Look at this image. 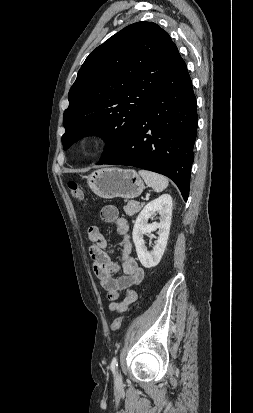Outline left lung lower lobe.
I'll return each mask as SVG.
<instances>
[{"mask_svg": "<svg viewBox=\"0 0 253 413\" xmlns=\"http://www.w3.org/2000/svg\"><path fill=\"white\" fill-rule=\"evenodd\" d=\"M197 124L192 82L179 54L126 145L102 164L129 165L163 174L175 182L187 201Z\"/></svg>", "mask_w": 253, "mask_h": 413, "instance_id": "0a47b994", "label": "left lung lower lobe"}]
</instances>
